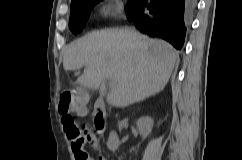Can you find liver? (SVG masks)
Segmentation results:
<instances>
[{
	"label": "liver",
	"mask_w": 242,
	"mask_h": 160,
	"mask_svg": "<svg viewBox=\"0 0 242 160\" xmlns=\"http://www.w3.org/2000/svg\"><path fill=\"white\" fill-rule=\"evenodd\" d=\"M178 59L169 43L124 28L91 32L71 43L63 67L65 71L84 67L77 84L89 89L97 90L105 78H112L107 102L126 107L162 91Z\"/></svg>",
	"instance_id": "1"
}]
</instances>
